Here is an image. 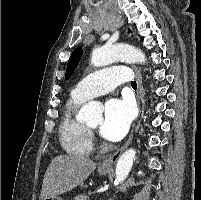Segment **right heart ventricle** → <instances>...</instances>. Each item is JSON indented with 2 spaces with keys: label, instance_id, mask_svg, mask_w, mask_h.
<instances>
[{
  "label": "right heart ventricle",
  "instance_id": "e07e8e85",
  "mask_svg": "<svg viewBox=\"0 0 201 200\" xmlns=\"http://www.w3.org/2000/svg\"><path fill=\"white\" fill-rule=\"evenodd\" d=\"M86 99L71 94L65 104L59 126V138L62 148L70 155L87 156L92 152L91 134L87 125L77 116L79 107Z\"/></svg>",
  "mask_w": 201,
  "mask_h": 200
}]
</instances>
